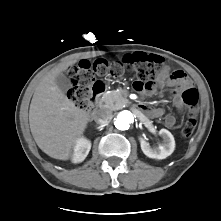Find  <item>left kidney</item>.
Instances as JSON below:
<instances>
[{
  "label": "left kidney",
  "mask_w": 221,
  "mask_h": 221,
  "mask_svg": "<svg viewBox=\"0 0 221 221\" xmlns=\"http://www.w3.org/2000/svg\"><path fill=\"white\" fill-rule=\"evenodd\" d=\"M160 136L163 138V144L157 147H151L148 142L140 138V145L143 153L153 159H165L171 155L175 149V140L173 135L166 129L159 131Z\"/></svg>",
  "instance_id": "5707ae66"
}]
</instances>
